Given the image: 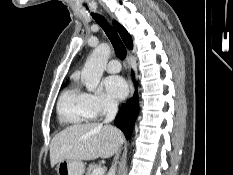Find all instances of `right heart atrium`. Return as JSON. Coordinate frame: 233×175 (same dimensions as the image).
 <instances>
[{
    "instance_id": "d8ad5b80",
    "label": "right heart atrium",
    "mask_w": 233,
    "mask_h": 175,
    "mask_svg": "<svg viewBox=\"0 0 233 175\" xmlns=\"http://www.w3.org/2000/svg\"><path fill=\"white\" fill-rule=\"evenodd\" d=\"M88 96L95 116L109 114L117 107L116 101L106 93L94 92L88 93Z\"/></svg>"
}]
</instances>
